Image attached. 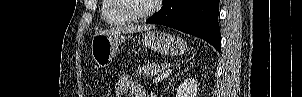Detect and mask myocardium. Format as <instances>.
Here are the masks:
<instances>
[{"label": "myocardium", "instance_id": "f54148a6", "mask_svg": "<svg viewBox=\"0 0 302 97\" xmlns=\"http://www.w3.org/2000/svg\"><path fill=\"white\" fill-rule=\"evenodd\" d=\"M117 10L122 13L130 21H142L152 16L158 9V2L153 1L150 7L141 14H134L130 12L125 5V0H115Z\"/></svg>", "mask_w": 302, "mask_h": 97}]
</instances>
